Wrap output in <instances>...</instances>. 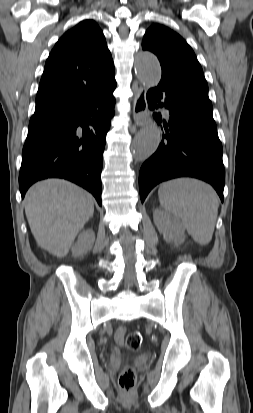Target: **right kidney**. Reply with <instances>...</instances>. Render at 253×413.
<instances>
[{
  "instance_id": "obj_1",
  "label": "right kidney",
  "mask_w": 253,
  "mask_h": 413,
  "mask_svg": "<svg viewBox=\"0 0 253 413\" xmlns=\"http://www.w3.org/2000/svg\"><path fill=\"white\" fill-rule=\"evenodd\" d=\"M95 234L93 230H84L78 236L77 242L72 246V254L74 257L83 256L88 253L94 244Z\"/></svg>"
}]
</instances>
